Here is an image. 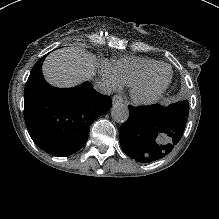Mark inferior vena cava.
I'll list each match as a JSON object with an SVG mask.
<instances>
[{
    "instance_id": "obj_1",
    "label": "inferior vena cava",
    "mask_w": 219,
    "mask_h": 219,
    "mask_svg": "<svg viewBox=\"0 0 219 219\" xmlns=\"http://www.w3.org/2000/svg\"><path fill=\"white\" fill-rule=\"evenodd\" d=\"M94 89L98 93L103 94V95H112L113 94L112 87L106 82H101V81L95 82Z\"/></svg>"
}]
</instances>
